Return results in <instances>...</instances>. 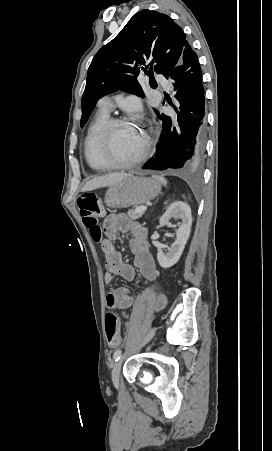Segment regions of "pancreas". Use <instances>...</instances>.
<instances>
[{"label": "pancreas", "mask_w": 272, "mask_h": 451, "mask_svg": "<svg viewBox=\"0 0 272 451\" xmlns=\"http://www.w3.org/2000/svg\"><path fill=\"white\" fill-rule=\"evenodd\" d=\"M127 214L131 220H138V218H142L143 216V212H141V214H136L135 210H128Z\"/></svg>", "instance_id": "1"}]
</instances>
